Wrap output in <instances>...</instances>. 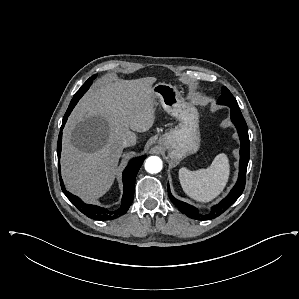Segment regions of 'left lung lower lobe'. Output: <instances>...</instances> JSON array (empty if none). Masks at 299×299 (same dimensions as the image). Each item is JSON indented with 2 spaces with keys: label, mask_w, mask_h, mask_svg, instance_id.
<instances>
[{
  "label": "left lung lower lobe",
  "mask_w": 299,
  "mask_h": 299,
  "mask_svg": "<svg viewBox=\"0 0 299 299\" xmlns=\"http://www.w3.org/2000/svg\"><path fill=\"white\" fill-rule=\"evenodd\" d=\"M229 107L231 108V120L235 124L240 137L241 148H240L239 177L237 183L230 191L228 196L225 199H223L219 204L213 206L209 213L201 214L198 212V210L195 207L175 199L170 193V189L168 186V195L171 201L176 205V207L182 213L186 214L188 217L192 219L210 220L218 217L240 197L245 187L246 171H247L249 152H250L248 128L239 107L234 105H231Z\"/></svg>",
  "instance_id": "1"
}]
</instances>
